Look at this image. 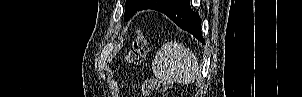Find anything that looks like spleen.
Here are the masks:
<instances>
[{
  "mask_svg": "<svg viewBox=\"0 0 302 97\" xmlns=\"http://www.w3.org/2000/svg\"><path fill=\"white\" fill-rule=\"evenodd\" d=\"M152 70L154 75L163 81L189 84L198 78V59L183 45L168 42L156 55Z\"/></svg>",
  "mask_w": 302,
  "mask_h": 97,
  "instance_id": "1",
  "label": "spleen"
}]
</instances>
